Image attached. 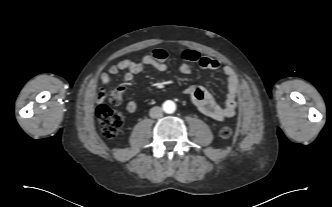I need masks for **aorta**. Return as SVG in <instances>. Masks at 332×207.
Here are the masks:
<instances>
[{"mask_svg": "<svg viewBox=\"0 0 332 207\" xmlns=\"http://www.w3.org/2000/svg\"><path fill=\"white\" fill-rule=\"evenodd\" d=\"M163 110L164 112L171 114L173 112H175L176 110V104L175 102L171 101V100H167L163 103Z\"/></svg>", "mask_w": 332, "mask_h": 207, "instance_id": "obj_1", "label": "aorta"}]
</instances>
